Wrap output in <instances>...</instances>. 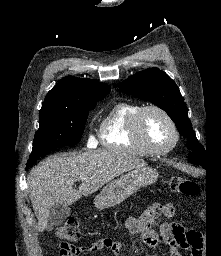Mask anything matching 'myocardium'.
<instances>
[{"instance_id": "obj_1", "label": "myocardium", "mask_w": 221, "mask_h": 256, "mask_svg": "<svg viewBox=\"0 0 221 256\" xmlns=\"http://www.w3.org/2000/svg\"><path fill=\"white\" fill-rule=\"evenodd\" d=\"M149 111H156L160 113L167 120V122L171 127L173 139H172V142L165 148L157 149L150 146L143 136V132H142L143 118H144V115ZM131 136L137 144H139L148 154H151V155L168 154L176 147L179 141V131L174 119L165 109L157 105L144 106L136 113L131 125Z\"/></svg>"}]
</instances>
